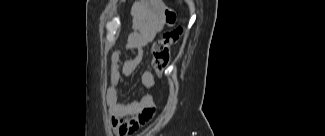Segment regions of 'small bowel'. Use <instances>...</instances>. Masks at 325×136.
Wrapping results in <instances>:
<instances>
[{"instance_id":"c3829d8e","label":"small bowel","mask_w":325,"mask_h":136,"mask_svg":"<svg viewBox=\"0 0 325 136\" xmlns=\"http://www.w3.org/2000/svg\"><path fill=\"white\" fill-rule=\"evenodd\" d=\"M162 21L154 22L135 45L138 55L121 65L122 53L114 50L109 55V85L106 90V102L110 110L111 127L118 136H127L135 133L140 127L147 124L155 113L153 97L150 94L139 100L124 104L119 99L118 85L122 74H130L140 59V49L154 41L162 28ZM142 85L146 89L154 86V77L149 69L141 76Z\"/></svg>"}]
</instances>
